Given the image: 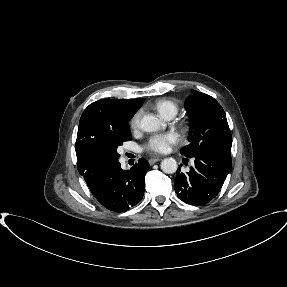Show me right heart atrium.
<instances>
[{
  "mask_svg": "<svg viewBox=\"0 0 287 287\" xmlns=\"http://www.w3.org/2000/svg\"><path fill=\"white\" fill-rule=\"evenodd\" d=\"M140 119H141V113L140 112H136L134 114V116L131 119V127L133 129H137L140 125Z\"/></svg>",
  "mask_w": 287,
  "mask_h": 287,
  "instance_id": "right-heart-atrium-1",
  "label": "right heart atrium"
}]
</instances>
